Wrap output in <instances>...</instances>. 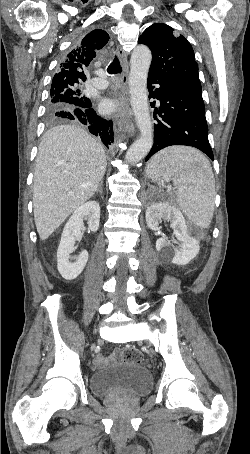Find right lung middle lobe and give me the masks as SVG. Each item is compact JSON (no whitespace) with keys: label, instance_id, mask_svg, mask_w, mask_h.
<instances>
[{"label":"right lung middle lobe","instance_id":"obj_1","mask_svg":"<svg viewBox=\"0 0 250 454\" xmlns=\"http://www.w3.org/2000/svg\"><path fill=\"white\" fill-rule=\"evenodd\" d=\"M90 100L80 93L79 84L51 85L50 97L47 104V120L60 121V110H71L76 106L88 103Z\"/></svg>","mask_w":250,"mask_h":454}]
</instances>
